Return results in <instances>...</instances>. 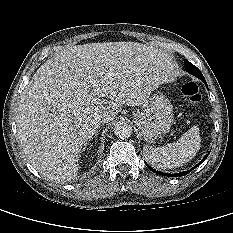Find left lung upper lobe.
<instances>
[{
    "label": "left lung upper lobe",
    "mask_w": 233,
    "mask_h": 233,
    "mask_svg": "<svg viewBox=\"0 0 233 233\" xmlns=\"http://www.w3.org/2000/svg\"><path fill=\"white\" fill-rule=\"evenodd\" d=\"M184 66L185 69L192 75L196 76L199 79H204V76L200 72V70L194 66L192 63H190L188 60H184Z\"/></svg>",
    "instance_id": "left-lung-upper-lobe-1"
}]
</instances>
